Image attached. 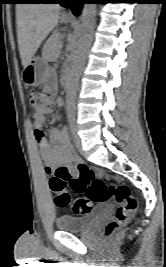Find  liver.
<instances>
[{
    "label": "liver",
    "instance_id": "1",
    "mask_svg": "<svg viewBox=\"0 0 166 267\" xmlns=\"http://www.w3.org/2000/svg\"><path fill=\"white\" fill-rule=\"evenodd\" d=\"M59 12L60 6L57 4L19 3L16 6L18 48L24 68L57 26Z\"/></svg>",
    "mask_w": 166,
    "mask_h": 267
}]
</instances>
